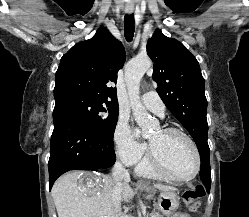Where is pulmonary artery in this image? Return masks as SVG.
<instances>
[{
	"mask_svg": "<svg viewBox=\"0 0 249 217\" xmlns=\"http://www.w3.org/2000/svg\"><path fill=\"white\" fill-rule=\"evenodd\" d=\"M143 104L153 113L160 117L164 116L165 105L160 96L155 91H149L142 96Z\"/></svg>",
	"mask_w": 249,
	"mask_h": 217,
	"instance_id": "pulmonary-artery-1",
	"label": "pulmonary artery"
}]
</instances>
